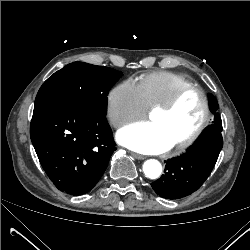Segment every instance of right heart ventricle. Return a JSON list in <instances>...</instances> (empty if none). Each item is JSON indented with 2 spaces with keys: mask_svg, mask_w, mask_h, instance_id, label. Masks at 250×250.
Here are the masks:
<instances>
[{
  "mask_svg": "<svg viewBox=\"0 0 250 250\" xmlns=\"http://www.w3.org/2000/svg\"><path fill=\"white\" fill-rule=\"evenodd\" d=\"M193 85L183 75L173 72H153L142 75L136 86L148 108L165 103L179 89Z\"/></svg>",
  "mask_w": 250,
  "mask_h": 250,
  "instance_id": "obj_1",
  "label": "right heart ventricle"
}]
</instances>
